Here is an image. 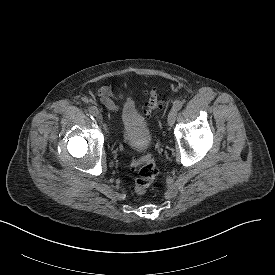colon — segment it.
<instances>
[{"label": "colon", "instance_id": "1", "mask_svg": "<svg viewBox=\"0 0 275 275\" xmlns=\"http://www.w3.org/2000/svg\"><path fill=\"white\" fill-rule=\"evenodd\" d=\"M162 100L156 90H152L147 94L144 113L147 117L154 116L161 108ZM130 166L132 168L139 167L138 176L134 183V190L137 194H144L153 183L158 170L153 155L143 156L141 158H133Z\"/></svg>", "mask_w": 275, "mask_h": 275}]
</instances>
